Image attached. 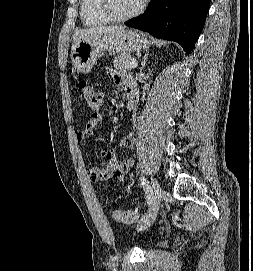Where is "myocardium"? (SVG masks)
I'll list each match as a JSON object with an SVG mask.
<instances>
[{"label": "myocardium", "mask_w": 253, "mask_h": 271, "mask_svg": "<svg viewBox=\"0 0 253 271\" xmlns=\"http://www.w3.org/2000/svg\"><path fill=\"white\" fill-rule=\"evenodd\" d=\"M101 11L111 20V21H126L134 17L139 16L145 9L147 0H142L140 4L133 11L127 14H119L114 6V0H99Z\"/></svg>", "instance_id": "1"}]
</instances>
